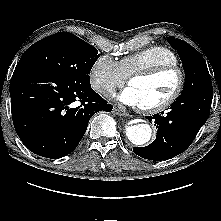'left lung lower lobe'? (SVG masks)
<instances>
[{"instance_id": "1", "label": "left lung lower lobe", "mask_w": 221, "mask_h": 221, "mask_svg": "<svg viewBox=\"0 0 221 221\" xmlns=\"http://www.w3.org/2000/svg\"><path fill=\"white\" fill-rule=\"evenodd\" d=\"M212 94V86L202 88L178 98L168 113L148 116L158 129L156 139L146 147H134L135 154L149 160H166L184 152L208 119Z\"/></svg>"}]
</instances>
